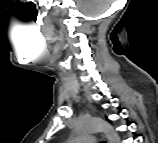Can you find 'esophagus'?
<instances>
[{
	"label": "esophagus",
	"instance_id": "esophagus-1",
	"mask_svg": "<svg viewBox=\"0 0 158 143\" xmlns=\"http://www.w3.org/2000/svg\"><path fill=\"white\" fill-rule=\"evenodd\" d=\"M107 142V139L105 136H102V143H106Z\"/></svg>",
	"mask_w": 158,
	"mask_h": 143
}]
</instances>
